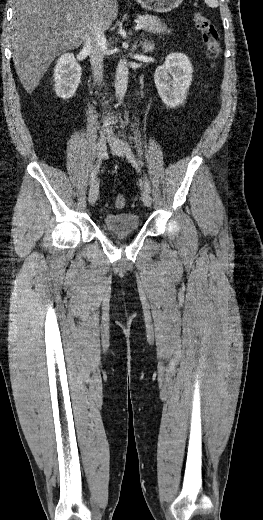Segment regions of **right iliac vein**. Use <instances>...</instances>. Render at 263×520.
Segmentation results:
<instances>
[{
  "label": "right iliac vein",
  "mask_w": 263,
  "mask_h": 520,
  "mask_svg": "<svg viewBox=\"0 0 263 520\" xmlns=\"http://www.w3.org/2000/svg\"><path fill=\"white\" fill-rule=\"evenodd\" d=\"M106 153V136L102 134L99 138V141L97 143V157L98 159L103 158V156ZM99 194V181L96 179L91 184L90 190H89V196L88 200L90 204H94L98 198Z\"/></svg>",
  "instance_id": "right-iliac-vein-1"
}]
</instances>
